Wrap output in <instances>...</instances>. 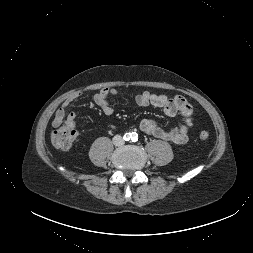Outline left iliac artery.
<instances>
[{
    "instance_id": "left-iliac-artery-1",
    "label": "left iliac artery",
    "mask_w": 253,
    "mask_h": 253,
    "mask_svg": "<svg viewBox=\"0 0 253 253\" xmlns=\"http://www.w3.org/2000/svg\"><path fill=\"white\" fill-rule=\"evenodd\" d=\"M133 142H136L138 140L136 133L133 134V137L131 139Z\"/></svg>"
}]
</instances>
